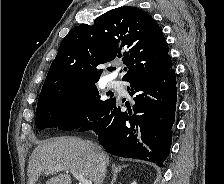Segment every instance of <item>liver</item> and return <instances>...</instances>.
<instances>
[{"mask_svg": "<svg viewBox=\"0 0 224 184\" xmlns=\"http://www.w3.org/2000/svg\"><path fill=\"white\" fill-rule=\"evenodd\" d=\"M106 162L109 157L103 152ZM63 167L60 173L45 184H72L71 170L83 175L94 184H101L99 162L92 144L76 137H56L40 143L28 162V184H36L44 172L54 173L51 168Z\"/></svg>", "mask_w": 224, "mask_h": 184, "instance_id": "liver-1", "label": "liver"}]
</instances>
